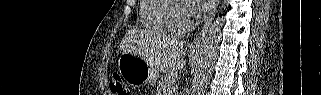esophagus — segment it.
Here are the masks:
<instances>
[{
  "label": "esophagus",
  "mask_w": 321,
  "mask_h": 95,
  "mask_svg": "<svg viewBox=\"0 0 321 95\" xmlns=\"http://www.w3.org/2000/svg\"><path fill=\"white\" fill-rule=\"evenodd\" d=\"M219 1L218 0H215L214 1V4L212 6V9L203 25V27L201 28V30L199 31V33L197 34V36L194 38V40L192 41L191 43V47H200L203 42H204V39H205V36H206V33L214 19V15H215V11H216V8H217V5H218Z\"/></svg>",
  "instance_id": "esophagus-1"
}]
</instances>
